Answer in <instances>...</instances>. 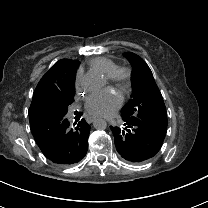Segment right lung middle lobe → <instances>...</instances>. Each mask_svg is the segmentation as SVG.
I'll return each mask as SVG.
<instances>
[{"label":"right lung middle lobe","instance_id":"right-lung-middle-lobe-1","mask_svg":"<svg viewBox=\"0 0 208 208\" xmlns=\"http://www.w3.org/2000/svg\"><path fill=\"white\" fill-rule=\"evenodd\" d=\"M75 76L63 81L53 93L41 97L37 105L39 113L46 116H65L68 105L74 101Z\"/></svg>","mask_w":208,"mask_h":208}]
</instances>
